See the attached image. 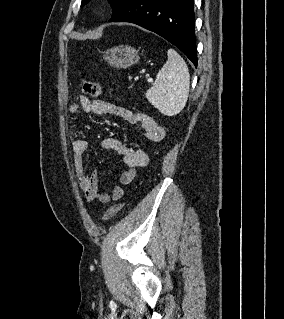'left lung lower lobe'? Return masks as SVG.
<instances>
[{"mask_svg": "<svg viewBox=\"0 0 284 319\" xmlns=\"http://www.w3.org/2000/svg\"><path fill=\"white\" fill-rule=\"evenodd\" d=\"M109 22H130L155 32L197 67L193 0H128Z\"/></svg>", "mask_w": 284, "mask_h": 319, "instance_id": "0a47b994", "label": "left lung lower lobe"}]
</instances>
